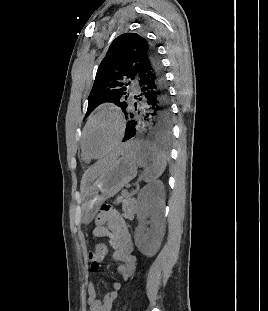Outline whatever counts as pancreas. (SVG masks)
Here are the masks:
<instances>
[{
  "mask_svg": "<svg viewBox=\"0 0 268 311\" xmlns=\"http://www.w3.org/2000/svg\"><path fill=\"white\" fill-rule=\"evenodd\" d=\"M136 207L135 199L131 198L129 194L123 195L122 198V210L124 212V216L127 219H131L134 216Z\"/></svg>",
  "mask_w": 268,
  "mask_h": 311,
  "instance_id": "pancreas-1",
  "label": "pancreas"
}]
</instances>
